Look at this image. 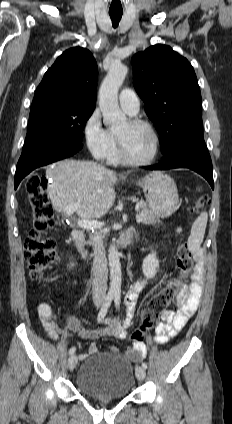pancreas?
Returning a JSON list of instances; mask_svg holds the SVG:
<instances>
[{"instance_id": "cf45deb5", "label": "pancreas", "mask_w": 232, "mask_h": 424, "mask_svg": "<svg viewBox=\"0 0 232 424\" xmlns=\"http://www.w3.org/2000/svg\"><path fill=\"white\" fill-rule=\"evenodd\" d=\"M138 209L140 211V216L142 217L141 223L144 225L160 223L158 216L146 205L139 204ZM107 230L103 231V234H107Z\"/></svg>"}]
</instances>
